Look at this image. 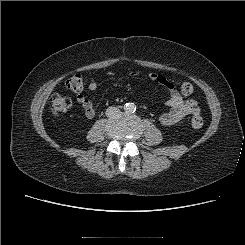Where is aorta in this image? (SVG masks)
<instances>
[{
    "mask_svg": "<svg viewBox=\"0 0 245 245\" xmlns=\"http://www.w3.org/2000/svg\"><path fill=\"white\" fill-rule=\"evenodd\" d=\"M124 110L128 113H133L136 111V105L134 103H126Z\"/></svg>",
    "mask_w": 245,
    "mask_h": 245,
    "instance_id": "obj_1",
    "label": "aorta"
}]
</instances>
